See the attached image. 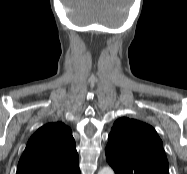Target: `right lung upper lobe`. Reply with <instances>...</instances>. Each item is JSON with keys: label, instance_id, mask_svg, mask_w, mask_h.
<instances>
[{"label": "right lung upper lobe", "instance_id": "1", "mask_svg": "<svg viewBox=\"0 0 187 174\" xmlns=\"http://www.w3.org/2000/svg\"><path fill=\"white\" fill-rule=\"evenodd\" d=\"M16 174H80L70 128L56 122L38 129L27 143Z\"/></svg>", "mask_w": 187, "mask_h": 174}]
</instances>
